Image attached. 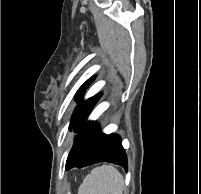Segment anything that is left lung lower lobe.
Masks as SVG:
<instances>
[{
    "label": "left lung lower lobe",
    "instance_id": "0a47b994",
    "mask_svg": "<svg viewBox=\"0 0 201 194\" xmlns=\"http://www.w3.org/2000/svg\"><path fill=\"white\" fill-rule=\"evenodd\" d=\"M102 161L118 164L127 170V157L118 134L106 135L91 121L84 124L75 137L66 161V170L85 167Z\"/></svg>",
    "mask_w": 201,
    "mask_h": 194
}]
</instances>
